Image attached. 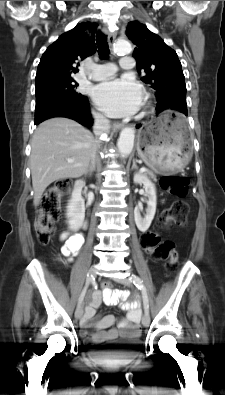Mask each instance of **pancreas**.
Segmentation results:
<instances>
[{
	"instance_id": "obj_1",
	"label": "pancreas",
	"mask_w": 225,
	"mask_h": 395,
	"mask_svg": "<svg viewBox=\"0 0 225 395\" xmlns=\"http://www.w3.org/2000/svg\"><path fill=\"white\" fill-rule=\"evenodd\" d=\"M145 174L148 175L150 178H153V179L156 178L155 174L151 171H145Z\"/></svg>"
}]
</instances>
